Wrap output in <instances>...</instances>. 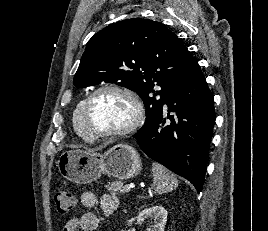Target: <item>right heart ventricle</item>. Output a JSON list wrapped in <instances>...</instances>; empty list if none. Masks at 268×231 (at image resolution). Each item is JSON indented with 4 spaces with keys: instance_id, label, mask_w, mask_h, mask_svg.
<instances>
[{
    "instance_id": "1",
    "label": "right heart ventricle",
    "mask_w": 268,
    "mask_h": 231,
    "mask_svg": "<svg viewBox=\"0 0 268 231\" xmlns=\"http://www.w3.org/2000/svg\"><path fill=\"white\" fill-rule=\"evenodd\" d=\"M83 104H84V100H81L76 105L72 114V122H73L74 131L76 132V134H78L84 140H89L90 136L85 129L83 118H82Z\"/></svg>"
}]
</instances>
